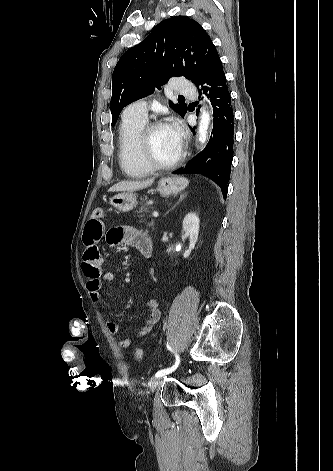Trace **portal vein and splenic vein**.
Here are the masks:
<instances>
[{
    "mask_svg": "<svg viewBox=\"0 0 333 471\" xmlns=\"http://www.w3.org/2000/svg\"><path fill=\"white\" fill-rule=\"evenodd\" d=\"M153 217L157 218L159 216L158 212H153Z\"/></svg>",
    "mask_w": 333,
    "mask_h": 471,
    "instance_id": "18ae733b",
    "label": "portal vein and splenic vein"
}]
</instances>
